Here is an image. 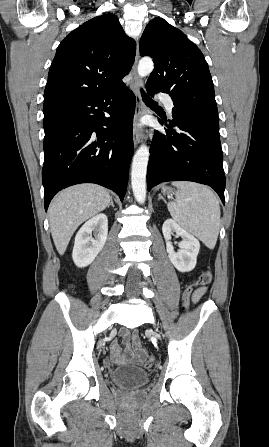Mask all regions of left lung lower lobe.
I'll return each instance as SVG.
<instances>
[{"label": "left lung lower lobe", "mask_w": 269, "mask_h": 447, "mask_svg": "<svg viewBox=\"0 0 269 447\" xmlns=\"http://www.w3.org/2000/svg\"><path fill=\"white\" fill-rule=\"evenodd\" d=\"M149 95L156 92L147 88ZM163 125L164 122L159 120ZM167 134L155 131L147 169L148 191L161 182L185 180L209 185L225 204V174L219 128L173 114ZM175 127V128H174Z\"/></svg>", "instance_id": "1"}]
</instances>
